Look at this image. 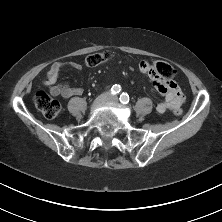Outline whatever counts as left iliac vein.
Wrapping results in <instances>:
<instances>
[{
  "label": "left iliac vein",
  "mask_w": 222,
  "mask_h": 222,
  "mask_svg": "<svg viewBox=\"0 0 222 222\" xmlns=\"http://www.w3.org/2000/svg\"><path fill=\"white\" fill-rule=\"evenodd\" d=\"M108 102L114 105H118V98L116 96L110 97Z\"/></svg>",
  "instance_id": "4c4485c4"
}]
</instances>
